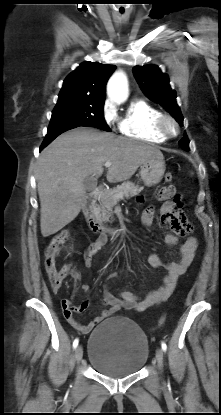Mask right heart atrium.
<instances>
[{
    "mask_svg": "<svg viewBox=\"0 0 221 415\" xmlns=\"http://www.w3.org/2000/svg\"><path fill=\"white\" fill-rule=\"evenodd\" d=\"M102 118L105 124L113 128L118 122V116L115 107L110 102H106L102 109Z\"/></svg>",
    "mask_w": 221,
    "mask_h": 415,
    "instance_id": "d8ad5b80",
    "label": "right heart atrium"
}]
</instances>
